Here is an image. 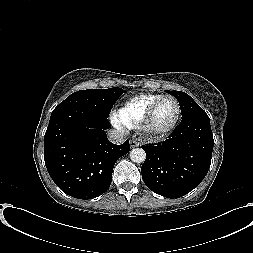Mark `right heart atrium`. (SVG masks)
Returning <instances> with one entry per match:
<instances>
[{
    "label": "right heart atrium",
    "instance_id": "right-heart-atrium-1",
    "mask_svg": "<svg viewBox=\"0 0 253 253\" xmlns=\"http://www.w3.org/2000/svg\"><path fill=\"white\" fill-rule=\"evenodd\" d=\"M112 121H113V123H114L115 125L121 126V125L118 123L116 117L112 116Z\"/></svg>",
    "mask_w": 253,
    "mask_h": 253
}]
</instances>
